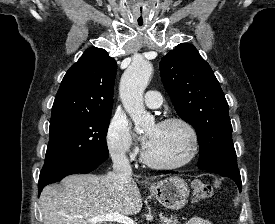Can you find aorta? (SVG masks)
I'll list each match as a JSON object with an SVG mask.
<instances>
[{
  "mask_svg": "<svg viewBox=\"0 0 275 224\" xmlns=\"http://www.w3.org/2000/svg\"><path fill=\"white\" fill-rule=\"evenodd\" d=\"M152 71L153 67L149 61H134L125 70L120 82V97L137 133L149 129L154 124V117L145 110L143 104V93Z\"/></svg>",
  "mask_w": 275,
  "mask_h": 224,
  "instance_id": "aorta-1",
  "label": "aorta"
}]
</instances>
